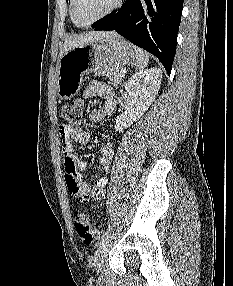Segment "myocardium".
Instances as JSON below:
<instances>
[{"label":"myocardium","mask_w":233,"mask_h":286,"mask_svg":"<svg viewBox=\"0 0 233 286\" xmlns=\"http://www.w3.org/2000/svg\"><path fill=\"white\" fill-rule=\"evenodd\" d=\"M122 3H123V0H115L114 4L106 12H104L103 14L98 16L97 18H95V19H93L92 21H89V22H81V21H79V19L77 18V15H76L77 0H72L71 16H72L73 21L79 27H89V26L97 23L98 21L106 18L107 16H109L113 12H115L117 9H119L121 7Z\"/></svg>","instance_id":"obj_1"}]
</instances>
